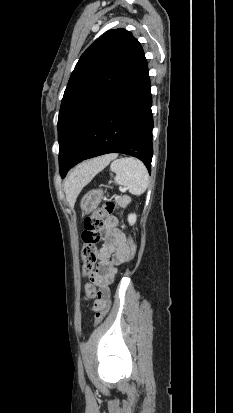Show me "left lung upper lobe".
Listing matches in <instances>:
<instances>
[{
	"label": "left lung upper lobe",
	"instance_id": "1",
	"mask_svg": "<svg viewBox=\"0 0 233 413\" xmlns=\"http://www.w3.org/2000/svg\"><path fill=\"white\" fill-rule=\"evenodd\" d=\"M141 49L129 31L115 29L104 33L80 57L58 117L60 171L74 157L92 119L121 83Z\"/></svg>",
	"mask_w": 233,
	"mask_h": 413
}]
</instances>
